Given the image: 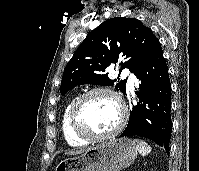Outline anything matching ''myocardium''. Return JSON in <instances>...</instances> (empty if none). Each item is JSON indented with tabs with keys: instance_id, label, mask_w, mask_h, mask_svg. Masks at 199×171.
Listing matches in <instances>:
<instances>
[{
	"instance_id": "obj_1",
	"label": "myocardium",
	"mask_w": 199,
	"mask_h": 171,
	"mask_svg": "<svg viewBox=\"0 0 199 171\" xmlns=\"http://www.w3.org/2000/svg\"><path fill=\"white\" fill-rule=\"evenodd\" d=\"M96 94H106V95L111 96L118 104V107L120 110V120L117 126L113 130L105 134H100V135L91 133L84 126L83 121H82V108H83L84 102L89 97ZM128 116H129V113H128L127 105L120 94H118L116 91L107 87H95V88L85 91L74 100L71 107V111H70V124H71L72 131L76 136L90 142H99V141H104V140L117 136L124 129L128 121Z\"/></svg>"
}]
</instances>
